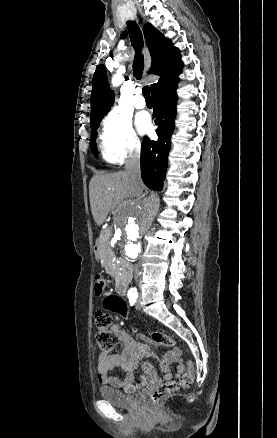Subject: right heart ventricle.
Listing matches in <instances>:
<instances>
[{
    "instance_id": "e07e8e85",
    "label": "right heart ventricle",
    "mask_w": 277,
    "mask_h": 438,
    "mask_svg": "<svg viewBox=\"0 0 277 438\" xmlns=\"http://www.w3.org/2000/svg\"><path fill=\"white\" fill-rule=\"evenodd\" d=\"M101 148L103 153V158L109 162V163H117L121 160L117 152L115 151L111 141L107 137L106 134H104L101 138Z\"/></svg>"
}]
</instances>
